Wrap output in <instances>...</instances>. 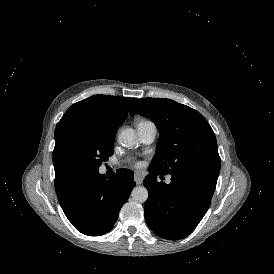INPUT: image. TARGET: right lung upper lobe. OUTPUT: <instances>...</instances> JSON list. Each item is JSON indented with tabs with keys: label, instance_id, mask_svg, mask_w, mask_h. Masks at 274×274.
Listing matches in <instances>:
<instances>
[{
	"label": "right lung upper lobe",
	"instance_id": "right-lung-upper-lobe-1",
	"mask_svg": "<svg viewBox=\"0 0 274 274\" xmlns=\"http://www.w3.org/2000/svg\"><path fill=\"white\" fill-rule=\"evenodd\" d=\"M135 100V98L94 95L69 107L55 129V148L53 151L55 186L60 185L71 177L57 158L58 148L63 137L69 131L91 121H120L123 123L127 116L128 108Z\"/></svg>",
	"mask_w": 274,
	"mask_h": 274
}]
</instances>
